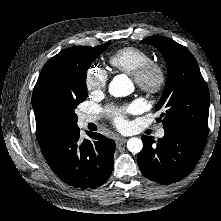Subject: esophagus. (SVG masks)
<instances>
[{
  "instance_id": "1",
  "label": "esophagus",
  "mask_w": 221,
  "mask_h": 221,
  "mask_svg": "<svg viewBox=\"0 0 221 221\" xmlns=\"http://www.w3.org/2000/svg\"><path fill=\"white\" fill-rule=\"evenodd\" d=\"M115 142H116L117 147H120L125 144L126 139L122 137H118Z\"/></svg>"
}]
</instances>
